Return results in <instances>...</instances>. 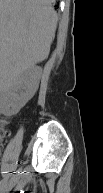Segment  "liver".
Segmentation results:
<instances>
[{
	"mask_svg": "<svg viewBox=\"0 0 103 193\" xmlns=\"http://www.w3.org/2000/svg\"><path fill=\"white\" fill-rule=\"evenodd\" d=\"M54 0H0L1 82L48 58L55 37Z\"/></svg>",
	"mask_w": 103,
	"mask_h": 193,
	"instance_id": "liver-1",
	"label": "liver"
}]
</instances>
